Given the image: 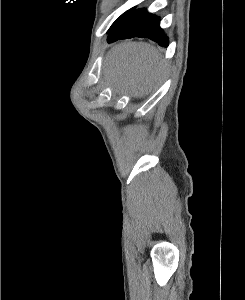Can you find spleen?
I'll return each mask as SVG.
<instances>
[{
	"instance_id": "1",
	"label": "spleen",
	"mask_w": 245,
	"mask_h": 300,
	"mask_svg": "<svg viewBox=\"0 0 245 300\" xmlns=\"http://www.w3.org/2000/svg\"><path fill=\"white\" fill-rule=\"evenodd\" d=\"M109 63L112 82H124L131 90L145 85L161 68L157 49L147 43L116 45L109 54Z\"/></svg>"
}]
</instances>
